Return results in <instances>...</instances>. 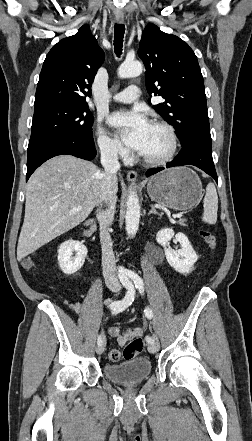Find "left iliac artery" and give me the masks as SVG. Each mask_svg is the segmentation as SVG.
Segmentation results:
<instances>
[{
	"label": "left iliac artery",
	"mask_w": 252,
	"mask_h": 441,
	"mask_svg": "<svg viewBox=\"0 0 252 441\" xmlns=\"http://www.w3.org/2000/svg\"><path fill=\"white\" fill-rule=\"evenodd\" d=\"M129 278H131V280L134 282L135 287L139 290V292L141 294H143L144 293V283H143V280L141 279V277L138 274L131 272L129 274ZM144 313L148 319H151L153 317L152 310L149 307L145 308ZM144 336H148V333H144ZM147 341L149 343L152 342L151 338H149V337H147Z\"/></svg>",
	"instance_id": "44dca946"
}]
</instances>
